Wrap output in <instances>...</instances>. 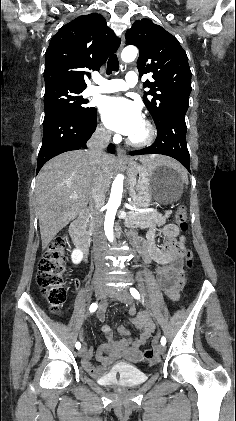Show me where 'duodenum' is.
<instances>
[{"label": "duodenum", "instance_id": "duodenum-1", "mask_svg": "<svg viewBox=\"0 0 236 421\" xmlns=\"http://www.w3.org/2000/svg\"><path fill=\"white\" fill-rule=\"evenodd\" d=\"M87 219L88 211L82 210L69 226V233L73 243L84 259L87 258L89 248L84 232ZM132 239L145 262L160 265L157 271L160 286L172 300H175L177 291L183 282L181 256L176 245L171 242L166 245L165 249L159 250L156 247L147 245L143 239L135 235H133ZM136 325L142 330L140 339L134 343V346L137 347L143 339L144 323L142 320H136ZM124 348L125 342L123 341L105 345L104 350L108 353V356L105 357L101 353L97 357L103 363L101 367H94L89 362L91 353L87 352L84 356L83 366L92 376L98 377L104 373L105 367L112 363Z\"/></svg>", "mask_w": 236, "mask_h": 421}]
</instances>
